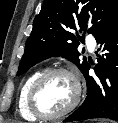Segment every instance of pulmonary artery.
I'll return each mask as SVG.
<instances>
[{
  "mask_svg": "<svg viewBox=\"0 0 118 123\" xmlns=\"http://www.w3.org/2000/svg\"><path fill=\"white\" fill-rule=\"evenodd\" d=\"M86 43L90 51H93L96 48V40L93 37H87Z\"/></svg>",
  "mask_w": 118,
  "mask_h": 123,
  "instance_id": "1",
  "label": "pulmonary artery"
}]
</instances>
